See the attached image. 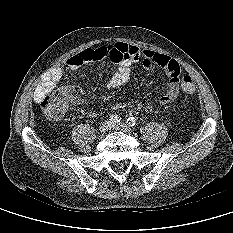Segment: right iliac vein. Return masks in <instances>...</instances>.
I'll list each match as a JSON object with an SVG mask.
<instances>
[{
    "instance_id": "63e3f726",
    "label": "right iliac vein",
    "mask_w": 233,
    "mask_h": 233,
    "mask_svg": "<svg viewBox=\"0 0 233 233\" xmlns=\"http://www.w3.org/2000/svg\"><path fill=\"white\" fill-rule=\"evenodd\" d=\"M111 125H112V123L110 121H105L100 125L99 131L101 133H105L106 131H108L111 128Z\"/></svg>"
}]
</instances>
